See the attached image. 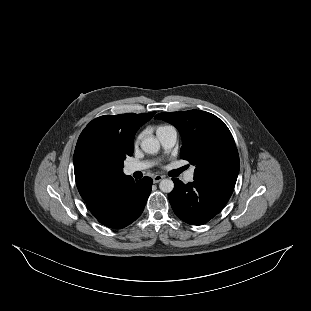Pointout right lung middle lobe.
Returning a JSON list of instances; mask_svg holds the SVG:
<instances>
[{"label":"right lung middle lobe","instance_id":"dd1d6c3e","mask_svg":"<svg viewBox=\"0 0 311 311\" xmlns=\"http://www.w3.org/2000/svg\"><path fill=\"white\" fill-rule=\"evenodd\" d=\"M78 153L83 160L92 164H103L113 160L123 163L127 156L117 150L114 143L101 134L85 137L79 144Z\"/></svg>","mask_w":311,"mask_h":311}]
</instances>
